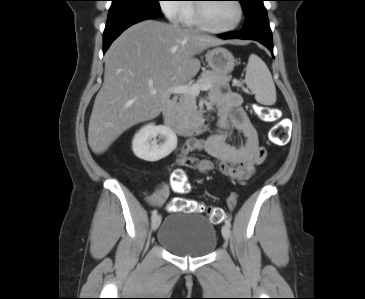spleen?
<instances>
[{
	"label": "spleen",
	"mask_w": 365,
	"mask_h": 299,
	"mask_svg": "<svg viewBox=\"0 0 365 299\" xmlns=\"http://www.w3.org/2000/svg\"><path fill=\"white\" fill-rule=\"evenodd\" d=\"M245 83L255 94L258 103L273 105L276 102V88L272 75L264 61L255 54H251L248 59Z\"/></svg>",
	"instance_id": "3e777b00"
}]
</instances>
